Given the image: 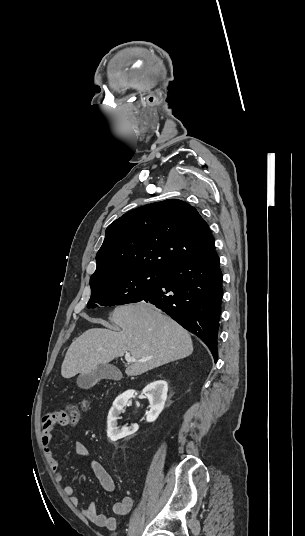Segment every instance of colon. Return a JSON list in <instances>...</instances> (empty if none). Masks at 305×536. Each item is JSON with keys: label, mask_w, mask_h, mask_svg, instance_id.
Instances as JSON below:
<instances>
[{"label": "colon", "mask_w": 305, "mask_h": 536, "mask_svg": "<svg viewBox=\"0 0 305 536\" xmlns=\"http://www.w3.org/2000/svg\"><path fill=\"white\" fill-rule=\"evenodd\" d=\"M90 405L89 399L82 400L78 405L70 404L65 406L66 412L64 415H67L69 418V424H75L80 416V413L87 409Z\"/></svg>", "instance_id": "5ec220e1"}]
</instances>
